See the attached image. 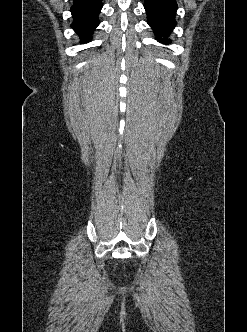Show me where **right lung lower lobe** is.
Segmentation results:
<instances>
[{"mask_svg": "<svg viewBox=\"0 0 247 332\" xmlns=\"http://www.w3.org/2000/svg\"><path fill=\"white\" fill-rule=\"evenodd\" d=\"M102 6V0H73L71 27L79 36L81 43L90 42L93 31L100 23L98 15Z\"/></svg>", "mask_w": 247, "mask_h": 332, "instance_id": "1", "label": "right lung lower lobe"}]
</instances>
